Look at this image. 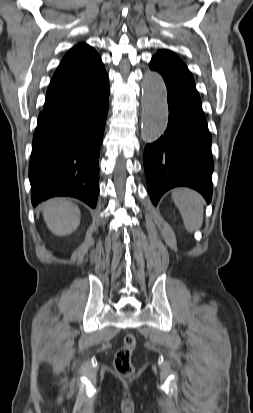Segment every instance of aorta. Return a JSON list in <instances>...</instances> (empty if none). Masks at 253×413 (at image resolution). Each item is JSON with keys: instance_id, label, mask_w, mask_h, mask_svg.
Instances as JSON below:
<instances>
[{"instance_id": "762f6f07", "label": "aorta", "mask_w": 253, "mask_h": 413, "mask_svg": "<svg viewBox=\"0 0 253 413\" xmlns=\"http://www.w3.org/2000/svg\"><path fill=\"white\" fill-rule=\"evenodd\" d=\"M141 86V137L145 142L152 143L160 138L167 127V90L162 77L151 72L145 74Z\"/></svg>"}]
</instances>
